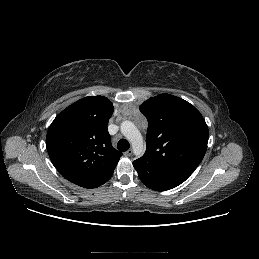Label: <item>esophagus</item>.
<instances>
[{
	"label": "esophagus",
	"instance_id": "34e87169",
	"mask_svg": "<svg viewBox=\"0 0 259 259\" xmlns=\"http://www.w3.org/2000/svg\"><path fill=\"white\" fill-rule=\"evenodd\" d=\"M132 153H133V150H132V149H129V150H127V151L124 153V155H125V156H131Z\"/></svg>",
	"mask_w": 259,
	"mask_h": 259
}]
</instances>
